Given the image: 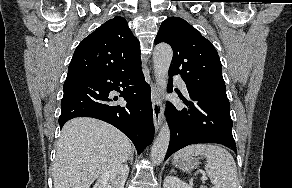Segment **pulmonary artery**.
Segmentation results:
<instances>
[{
  "label": "pulmonary artery",
  "mask_w": 292,
  "mask_h": 188,
  "mask_svg": "<svg viewBox=\"0 0 292 188\" xmlns=\"http://www.w3.org/2000/svg\"><path fill=\"white\" fill-rule=\"evenodd\" d=\"M178 81V86L180 87V89L184 92V93H187V87H186V84L180 80V79H177Z\"/></svg>",
  "instance_id": "pulmonary-artery-1"
}]
</instances>
